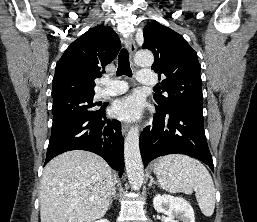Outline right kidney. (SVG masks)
Listing matches in <instances>:
<instances>
[{"label": "right kidney", "mask_w": 257, "mask_h": 222, "mask_svg": "<svg viewBox=\"0 0 257 222\" xmlns=\"http://www.w3.org/2000/svg\"><path fill=\"white\" fill-rule=\"evenodd\" d=\"M95 222H109L107 219H101V220H98V221H95Z\"/></svg>", "instance_id": "ca27d5eb"}]
</instances>
